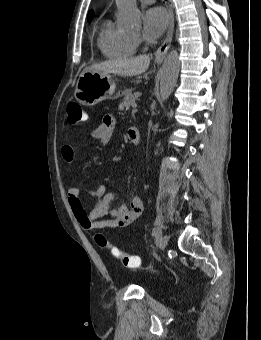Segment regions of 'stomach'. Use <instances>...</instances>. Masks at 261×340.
I'll list each match as a JSON object with an SVG mask.
<instances>
[{
	"mask_svg": "<svg viewBox=\"0 0 261 340\" xmlns=\"http://www.w3.org/2000/svg\"><path fill=\"white\" fill-rule=\"evenodd\" d=\"M115 82L112 75L92 70L81 73L74 96L84 106H93L111 98L115 92Z\"/></svg>",
	"mask_w": 261,
	"mask_h": 340,
	"instance_id": "obj_1",
	"label": "stomach"
}]
</instances>
